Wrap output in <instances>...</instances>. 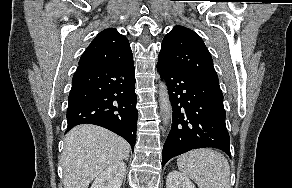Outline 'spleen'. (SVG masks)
Segmentation results:
<instances>
[{
	"label": "spleen",
	"mask_w": 292,
	"mask_h": 188,
	"mask_svg": "<svg viewBox=\"0 0 292 188\" xmlns=\"http://www.w3.org/2000/svg\"><path fill=\"white\" fill-rule=\"evenodd\" d=\"M177 165L199 188H230L229 163L218 151L191 150L177 158Z\"/></svg>",
	"instance_id": "3e777b00"
}]
</instances>
